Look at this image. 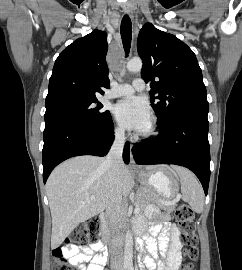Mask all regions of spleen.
<instances>
[{
  "label": "spleen",
  "instance_id": "obj_1",
  "mask_svg": "<svg viewBox=\"0 0 242 270\" xmlns=\"http://www.w3.org/2000/svg\"><path fill=\"white\" fill-rule=\"evenodd\" d=\"M173 169L180 178L183 200L188 202L195 212L201 213L204 207V193L197 178L183 167L174 166Z\"/></svg>",
  "mask_w": 242,
  "mask_h": 270
}]
</instances>
